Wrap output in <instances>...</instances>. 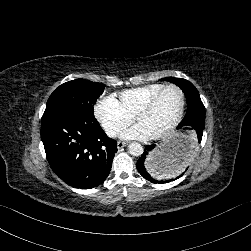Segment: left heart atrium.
Returning <instances> with one entry per match:
<instances>
[{"instance_id": "left-heart-atrium-1", "label": "left heart atrium", "mask_w": 251, "mask_h": 251, "mask_svg": "<svg viewBox=\"0 0 251 251\" xmlns=\"http://www.w3.org/2000/svg\"><path fill=\"white\" fill-rule=\"evenodd\" d=\"M126 139L149 140L156 136L154 129L145 121H139L121 132Z\"/></svg>"}]
</instances>
